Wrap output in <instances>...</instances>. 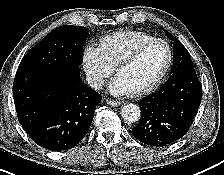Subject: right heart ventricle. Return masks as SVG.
Here are the masks:
<instances>
[{
    "label": "right heart ventricle",
    "instance_id": "e07e8e85",
    "mask_svg": "<svg viewBox=\"0 0 224 175\" xmlns=\"http://www.w3.org/2000/svg\"><path fill=\"white\" fill-rule=\"evenodd\" d=\"M152 38L151 35L140 31H119L103 37L98 48L115 67L138 45Z\"/></svg>",
    "mask_w": 224,
    "mask_h": 175
}]
</instances>
